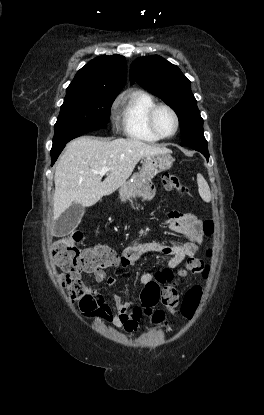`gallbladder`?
<instances>
[{"mask_svg": "<svg viewBox=\"0 0 264 415\" xmlns=\"http://www.w3.org/2000/svg\"><path fill=\"white\" fill-rule=\"evenodd\" d=\"M85 212V207L78 203H73L55 223V236H66L70 234L80 223Z\"/></svg>", "mask_w": 264, "mask_h": 415, "instance_id": "bac80fb5", "label": "gallbladder"}]
</instances>
